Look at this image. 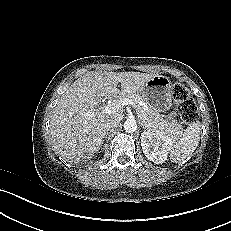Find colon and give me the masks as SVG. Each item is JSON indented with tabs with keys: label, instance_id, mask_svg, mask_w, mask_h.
Returning <instances> with one entry per match:
<instances>
[{
	"label": "colon",
	"instance_id": "1",
	"mask_svg": "<svg viewBox=\"0 0 231 231\" xmlns=\"http://www.w3.org/2000/svg\"><path fill=\"white\" fill-rule=\"evenodd\" d=\"M172 96L182 122L185 124L194 122L198 117V111L189 90L182 84H174Z\"/></svg>",
	"mask_w": 231,
	"mask_h": 231
}]
</instances>
